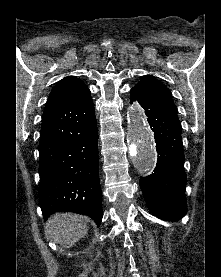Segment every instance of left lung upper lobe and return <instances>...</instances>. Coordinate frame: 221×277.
<instances>
[{"mask_svg":"<svg viewBox=\"0 0 221 277\" xmlns=\"http://www.w3.org/2000/svg\"><path fill=\"white\" fill-rule=\"evenodd\" d=\"M136 87L143 89L147 94L153 97L169 114L177 117V109L172 100V94L169 89L153 76H143Z\"/></svg>","mask_w":221,"mask_h":277,"instance_id":"5c2ea615","label":"left lung upper lobe"}]
</instances>
